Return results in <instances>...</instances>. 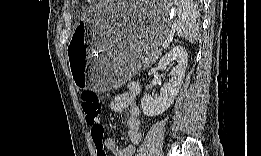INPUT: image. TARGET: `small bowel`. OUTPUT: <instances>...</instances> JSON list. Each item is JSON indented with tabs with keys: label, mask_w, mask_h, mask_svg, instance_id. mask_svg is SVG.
I'll return each instance as SVG.
<instances>
[{
	"label": "small bowel",
	"mask_w": 261,
	"mask_h": 156,
	"mask_svg": "<svg viewBox=\"0 0 261 156\" xmlns=\"http://www.w3.org/2000/svg\"><path fill=\"white\" fill-rule=\"evenodd\" d=\"M141 87L138 83L132 82L128 85L126 92L116 96L110 102V109L113 112L128 110L125 120L126 129L122 131V139L127 138L128 144L125 147L117 146L115 140L108 135L106 127H103V146L114 156H133L135 145L141 141V122L139 119V108L135 104V98L139 95ZM99 156H106L100 155Z\"/></svg>",
	"instance_id": "1"
}]
</instances>
